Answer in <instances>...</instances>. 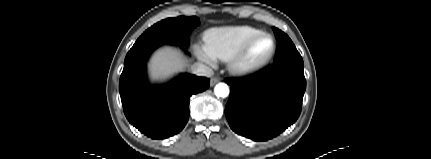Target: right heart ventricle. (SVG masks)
I'll return each mask as SVG.
<instances>
[{"label":"right heart ventricle","instance_id":"e07e8e85","mask_svg":"<svg viewBox=\"0 0 431 159\" xmlns=\"http://www.w3.org/2000/svg\"><path fill=\"white\" fill-rule=\"evenodd\" d=\"M260 31L249 25L212 28L204 34V41L217 59L228 60L245 40Z\"/></svg>","mask_w":431,"mask_h":159}]
</instances>
